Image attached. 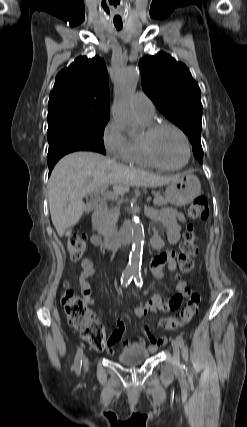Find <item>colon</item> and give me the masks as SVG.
I'll return each instance as SVG.
<instances>
[{"mask_svg":"<svg viewBox=\"0 0 247 427\" xmlns=\"http://www.w3.org/2000/svg\"><path fill=\"white\" fill-rule=\"evenodd\" d=\"M188 216L192 220L205 221L209 217L207 199L197 197L188 209ZM68 253L73 261L79 260L86 252L87 244L84 237L73 235L68 239ZM196 234L190 226L180 246L178 256L180 269L188 273L194 268L193 258L197 254ZM66 291L61 297V305L66 314L68 323L76 329L80 336L95 350H105L108 347L105 331L102 324L92 318L88 304L84 297L79 296L69 285L65 284ZM201 297L198 293L191 295L185 307L176 315L161 320L160 324L165 330H177L187 325L198 313Z\"/></svg>","mask_w":247,"mask_h":427,"instance_id":"colon-1","label":"colon"}]
</instances>
